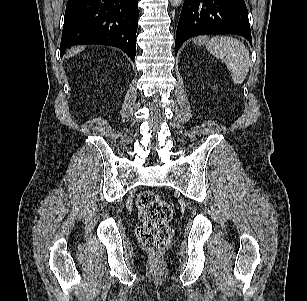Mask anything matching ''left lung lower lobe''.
<instances>
[{
    "label": "left lung lower lobe",
    "mask_w": 307,
    "mask_h": 301,
    "mask_svg": "<svg viewBox=\"0 0 307 301\" xmlns=\"http://www.w3.org/2000/svg\"><path fill=\"white\" fill-rule=\"evenodd\" d=\"M224 33L241 35L252 45L244 0H185L176 31L175 54L191 37Z\"/></svg>",
    "instance_id": "0a47b994"
}]
</instances>
